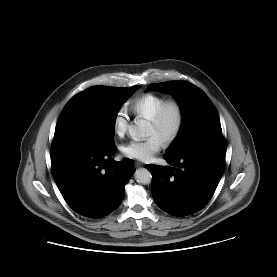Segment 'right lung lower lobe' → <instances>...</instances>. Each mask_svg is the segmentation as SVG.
<instances>
[{"label":"right lung lower lobe","instance_id":"98d812e1","mask_svg":"<svg viewBox=\"0 0 277 277\" xmlns=\"http://www.w3.org/2000/svg\"><path fill=\"white\" fill-rule=\"evenodd\" d=\"M116 151L75 139H53L52 175L65 201L78 214L101 218L121 204L135 168L131 159L112 160Z\"/></svg>","mask_w":277,"mask_h":277}]
</instances>
